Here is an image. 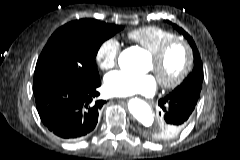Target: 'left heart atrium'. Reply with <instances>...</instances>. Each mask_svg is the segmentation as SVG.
<instances>
[{
  "instance_id": "39dd6f15",
  "label": "left heart atrium",
  "mask_w": 240,
  "mask_h": 160,
  "mask_svg": "<svg viewBox=\"0 0 240 160\" xmlns=\"http://www.w3.org/2000/svg\"><path fill=\"white\" fill-rule=\"evenodd\" d=\"M104 88L109 95L114 96L136 94L151 96L156 91V79L152 75H133L115 71L106 76Z\"/></svg>"
}]
</instances>
